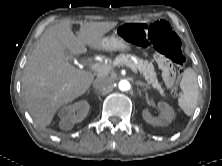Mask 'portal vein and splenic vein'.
<instances>
[{
	"label": "portal vein and splenic vein",
	"instance_id": "18ae733b",
	"mask_svg": "<svg viewBox=\"0 0 222 166\" xmlns=\"http://www.w3.org/2000/svg\"><path fill=\"white\" fill-rule=\"evenodd\" d=\"M125 65L128 66L135 74H138V70L135 66H133L131 64H125ZM91 69L93 71L100 73V74H105L110 70L109 67L105 66L104 64H100V63L92 64Z\"/></svg>",
	"mask_w": 222,
	"mask_h": 166
}]
</instances>
